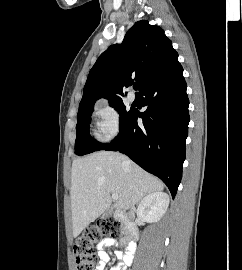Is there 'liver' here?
I'll list each match as a JSON object with an SVG mask.
<instances>
[{
    "label": "liver",
    "mask_w": 242,
    "mask_h": 270,
    "mask_svg": "<svg viewBox=\"0 0 242 270\" xmlns=\"http://www.w3.org/2000/svg\"><path fill=\"white\" fill-rule=\"evenodd\" d=\"M163 188L162 181L118 152L100 151L75 159L70 191L73 237L109 208L111 194L119 196L114 205L117 210H128Z\"/></svg>",
    "instance_id": "liver-1"
}]
</instances>
